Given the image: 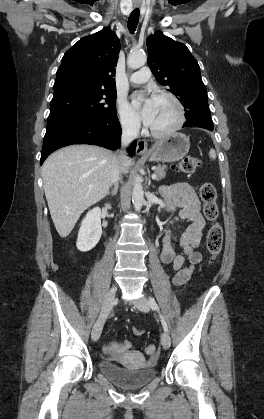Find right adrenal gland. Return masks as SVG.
Here are the masks:
<instances>
[{"mask_svg": "<svg viewBox=\"0 0 264 419\" xmlns=\"http://www.w3.org/2000/svg\"><path fill=\"white\" fill-rule=\"evenodd\" d=\"M117 191H118V185H115L114 189L111 190V195L115 196L117 194ZM108 194H110V192Z\"/></svg>", "mask_w": 264, "mask_h": 419, "instance_id": "obj_1", "label": "right adrenal gland"}]
</instances>
